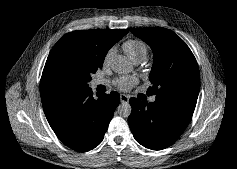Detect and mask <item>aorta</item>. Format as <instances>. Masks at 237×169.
Returning a JSON list of instances; mask_svg holds the SVG:
<instances>
[{"mask_svg": "<svg viewBox=\"0 0 237 169\" xmlns=\"http://www.w3.org/2000/svg\"><path fill=\"white\" fill-rule=\"evenodd\" d=\"M111 69L118 74H127L133 71V64L126 56L117 55L111 61ZM131 111V105L125 101L117 107V114L123 118H128Z\"/></svg>", "mask_w": 237, "mask_h": 169, "instance_id": "obj_1", "label": "aorta"}]
</instances>
